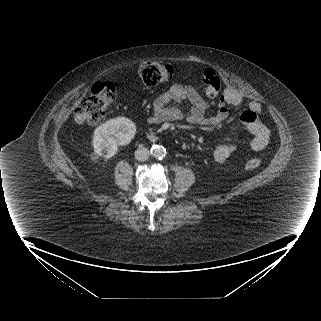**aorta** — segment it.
Wrapping results in <instances>:
<instances>
[{"label":"aorta","instance_id":"1","mask_svg":"<svg viewBox=\"0 0 321 321\" xmlns=\"http://www.w3.org/2000/svg\"><path fill=\"white\" fill-rule=\"evenodd\" d=\"M151 154L157 159H162L166 156V149L161 145H153L151 147Z\"/></svg>","mask_w":321,"mask_h":321}]
</instances>
